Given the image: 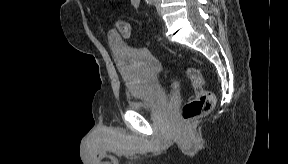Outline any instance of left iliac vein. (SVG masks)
Masks as SVG:
<instances>
[{
    "label": "left iliac vein",
    "instance_id": "4c4485c4",
    "mask_svg": "<svg viewBox=\"0 0 288 164\" xmlns=\"http://www.w3.org/2000/svg\"><path fill=\"white\" fill-rule=\"evenodd\" d=\"M157 10H158V12H160V7L159 6H157Z\"/></svg>",
    "mask_w": 288,
    "mask_h": 164
}]
</instances>
